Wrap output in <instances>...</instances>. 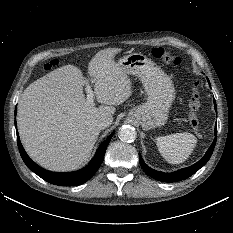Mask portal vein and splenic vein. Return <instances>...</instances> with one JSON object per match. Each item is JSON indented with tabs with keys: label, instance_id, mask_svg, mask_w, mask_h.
<instances>
[{
	"label": "portal vein and splenic vein",
	"instance_id": "1",
	"mask_svg": "<svg viewBox=\"0 0 233 233\" xmlns=\"http://www.w3.org/2000/svg\"><path fill=\"white\" fill-rule=\"evenodd\" d=\"M85 91L87 93V99L86 102L88 105H92L94 102V94H93V90L91 88L90 85H86Z\"/></svg>",
	"mask_w": 233,
	"mask_h": 233
}]
</instances>
